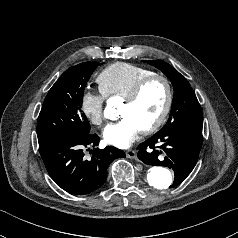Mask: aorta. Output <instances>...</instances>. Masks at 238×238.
Masks as SVG:
<instances>
[{"label": "aorta", "mask_w": 238, "mask_h": 238, "mask_svg": "<svg viewBox=\"0 0 238 238\" xmlns=\"http://www.w3.org/2000/svg\"><path fill=\"white\" fill-rule=\"evenodd\" d=\"M117 113L115 108L108 103L104 110V117L107 119H116ZM172 173L164 167L155 166L149 169L147 173V181L150 186L158 190H166L172 184Z\"/></svg>", "instance_id": "762f6f07"}]
</instances>
